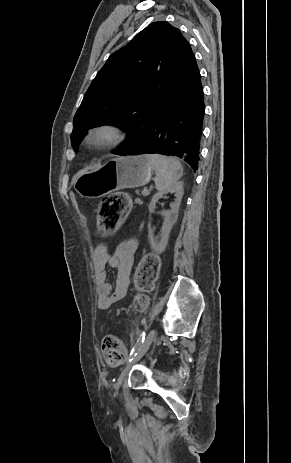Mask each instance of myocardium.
Wrapping results in <instances>:
<instances>
[{
  "instance_id": "obj_1",
  "label": "myocardium",
  "mask_w": 291,
  "mask_h": 463,
  "mask_svg": "<svg viewBox=\"0 0 291 463\" xmlns=\"http://www.w3.org/2000/svg\"><path fill=\"white\" fill-rule=\"evenodd\" d=\"M125 129L115 123H100L90 127L84 143L94 148H114L126 140Z\"/></svg>"
}]
</instances>
